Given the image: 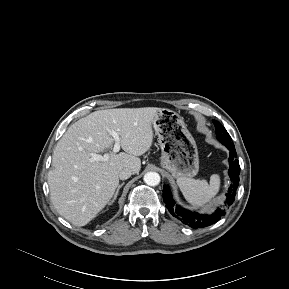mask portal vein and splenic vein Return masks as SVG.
<instances>
[{
  "label": "portal vein and splenic vein",
  "mask_w": 289,
  "mask_h": 289,
  "mask_svg": "<svg viewBox=\"0 0 289 289\" xmlns=\"http://www.w3.org/2000/svg\"><path fill=\"white\" fill-rule=\"evenodd\" d=\"M110 134L115 141L113 152L117 153L120 150L121 139L116 131H111ZM106 160H108V154H104L103 156L96 153L91 154V161H106Z\"/></svg>",
  "instance_id": "1"
}]
</instances>
